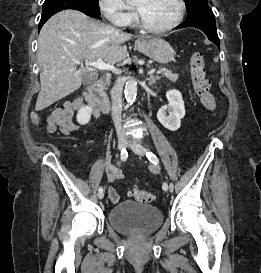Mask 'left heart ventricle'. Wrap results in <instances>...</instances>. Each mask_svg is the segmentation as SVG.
<instances>
[{"label":"left heart ventricle","mask_w":261,"mask_h":273,"mask_svg":"<svg viewBox=\"0 0 261 273\" xmlns=\"http://www.w3.org/2000/svg\"><path fill=\"white\" fill-rule=\"evenodd\" d=\"M134 7L153 27H164L175 21L179 14L177 0H136Z\"/></svg>","instance_id":"b2bd125f"}]
</instances>
